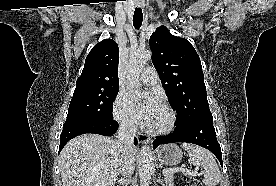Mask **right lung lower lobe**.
Returning a JSON list of instances; mask_svg holds the SVG:
<instances>
[{"mask_svg":"<svg viewBox=\"0 0 276 186\" xmlns=\"http://www.w3.org/2000/svg\"><path fill=\"white\" fill-rule=\"evenodd\" d=\"M117 129L118 123L112 118L110 120L77 119L65 122L60 136L59 152L70 139L78 135L95 133L104 136H112L116 133ZM134 144H137L136 139L134 140Z\"/></svg>","mask_w":276,"mask_h":186,"instance_id":"1","label":"right lung lower lobe"}]
</instances>
